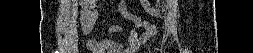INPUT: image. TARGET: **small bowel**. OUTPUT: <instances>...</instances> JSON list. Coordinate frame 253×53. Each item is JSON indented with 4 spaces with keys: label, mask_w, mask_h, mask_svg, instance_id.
Instances as JSON below:
<instances>
[{
    "label": "small bowel",
    "mask_w": 253,
    "mask_h": 53,
    "mask_svg": "<svg viewBox=\"0 0 253 53\" xmlns=\"http://www.w3.org/2000/svg\"><path fill=\"white\" fill-rule=\"evenodd\" d=\"M122 15L130 20L134 27L131 29H128L126 31L127 33V39L124 42L123 46L127 53H134L136 52L143 44H145L147 41L150 40V38L156 33L158 30V27L155 25H152L150 23L141 21L140 18L137 16H134L130 13H128L123 7L121 8ZM97 19V15L93 14L90 18V20L81 27V33L83 36H86L91 32V30L94 27V23ZM143 28L145 32L141 35L138 34L137 29ZM108 31L110 33H118L123 31V29L118 25H111L108 27ZM85 43L87 47L96 53L102 52L107 49H111L114 47H117L116 44L111 40H102L100 42L96 40H88L85 39Z\"/></svg>",
    "instance_id": "c3829d8e"
}]
</instances>
